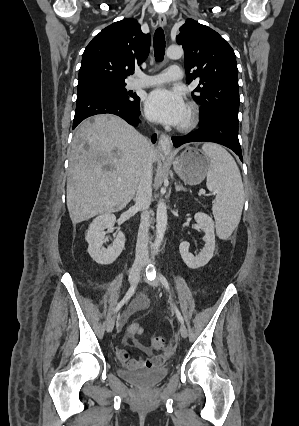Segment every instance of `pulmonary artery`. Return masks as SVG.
Masks as SVG:
<instances>
[{
  "label": "pulmonary artery",
  "mask_w": 299,
  "mask_h": 426,
  "mask_svg": "<svg viewBox=\"0 0 299 426\" xmlns=\"http://www.w3.org/2000/svg\"><path fill=\"white\" fill-rule=\"evenodd\" d=\"M182 79V70L177 65L168 67L165 71L156 75H139L131 86L133 88L151 87L161 85L170 81H179Z\"/></svg>",
  "instance_id": "pulmonary-artery-1"
}]
</instances>
